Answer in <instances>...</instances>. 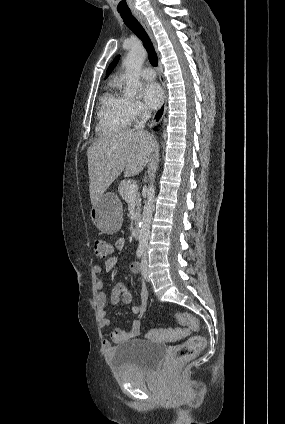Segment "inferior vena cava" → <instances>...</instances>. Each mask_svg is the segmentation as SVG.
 Masks as SVG:
<instances>
[{"label": "inferior vena cava", "instance_id": "1", "mask_svg": "<svg viewBox=\"0 0 285 424\" xmlns=\"http://www.w3.org/2000/svg\"><path fill=\"white\" fill-rule=\"evenodd\" d=\"M151 112L148 110H145L142 112L140 119L137 121L134 129L135 130H141L145 127L146 122L150 119ZM144 260H146V257H144Z\"/></svg>", "mask_w": 285, "mask_h": 424}]
</instances>
